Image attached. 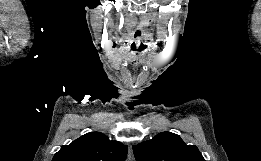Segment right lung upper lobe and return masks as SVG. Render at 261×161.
<instances>
[{
	"mask_svg": "<svg viewBox=\"0 0 261 161\" xmlns=\"http://www.w3.org/2000/svg\"><path fill=\"white\" fill-rule=\"evenodd\" d=\"M127 145L110 141L100 132L87 133L62 146L52 161H124Z\"/></svg>",
	"mask_w": 261,
	"mask_h": 161,
	"instance_id": "1",
	"label": "right lung upper lobe"
}]
</instances>
